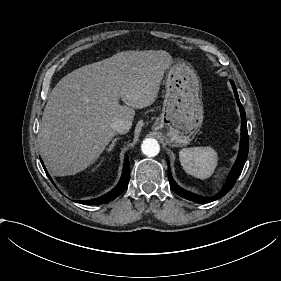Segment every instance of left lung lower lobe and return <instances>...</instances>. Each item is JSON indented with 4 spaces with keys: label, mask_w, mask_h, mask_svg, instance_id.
Segmentation results:
<instances>
[{
    "label": "left lung lower lobe",
    "mask_w": 281,
    "mask_h": 281,
    "mask_svg": "<svg viewBox=\"0 0 281 281\" xmlns=\"http://www.w3.org/2000/svg\"><path fill=\"white\" fill-rule=\"evenodd\" d=\"M231 85L233 87L235 98H236L237 104L240 109V114H241V140H240V149H239L238 157H237L236 162L233 165V167L230 171V174L227 178V181L224 184V186L222 187L221 191L212 197H202V196H198L196 194L190 193V192L182 189L175 183V181L172 178L171 172H170V167L168 165V178H169V182H170V186H171L172 190L175 193H177L178 195H180L181 197L194 201L196 203H208V202H211V201H214L216 199L223 197L227 192H229L232 189V187L234 186L238 176L240 175V173L243 169L245 161L247 159L249 141H248V132H247V125H246V115H245L244 108L242 107V104L240 103L236 87L232 81H231Z\"/></svg>",
    "instance_id": "left-lung-lower-lobe-1"
}]
</instances>
